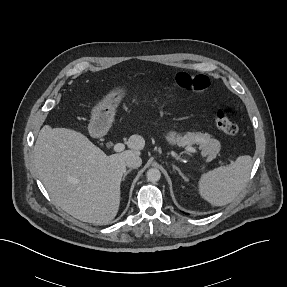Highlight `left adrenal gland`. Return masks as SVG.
Returning <instances> with one entry per match:
<instances>
[{"label": "left adrenal gland", "instance_id": "1", "mask_svg": "<svg viewBox=\"0 0 287 287\" xmlns=\"http://www.w3.org/2000/svg\"><path fill=\"white\" fill-rule=\"evenodd\" d=\"M172 167H173L174 170H176V171L179 173V175H180L184 180H187V178L184 176V174L181 172V170H180L177 166L172 165Z\"/></svg>", "mask_w": 287, "mask_h": 287}]
</instances>
